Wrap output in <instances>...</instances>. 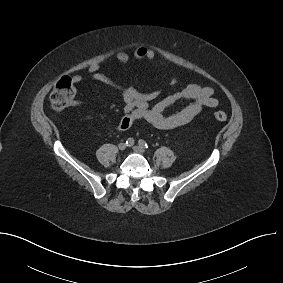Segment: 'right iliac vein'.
Listing matches in <instances>:
<instances>
[{"label": "right iliac vein", "mask_w": 283, "mask_h": 283, "mask_svg": "<svg viewBox=\"0 0 283 283\" xmlns=\"http://www.w3.org/2000/svg\"><path fill=\"white\" fill-rule=\"evenodd\" d=\"M118 148H119V150H121V151H123V150H125L126 149V144L125 143H119L118 144Z\"/></svg>", "instance_id": "63e3f726"}]
</instances>
